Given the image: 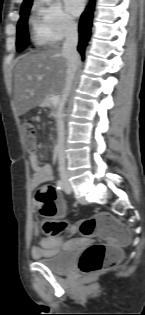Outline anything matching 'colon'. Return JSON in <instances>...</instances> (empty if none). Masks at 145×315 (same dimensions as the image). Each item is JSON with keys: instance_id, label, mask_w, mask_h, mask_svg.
Segmentation results:
<instances>
[{"instance_id": "1", "label": "colon", "mask_w": 145, "mask_h": 315, "mask_svg": "<svg viewBox=\"0 0 145 315\" xmlns=\"http://www.w3.org/2000/svg\"><path fill=\"white\" fill-rule=\"evenodd\" d=\"M23 141L28 150L35 147L34 126L25 122L22 125ZM36 206L40 214L47 219L46 228L55 234L65 228V223L56 220L62 209V203L51 184H42L36 193ZM80 233L87 237L103 239L108 244L96 243L82 253L78 268L84 274H94L114 267L121 258L119 245L128 242L129 235L125 227L109 214L101 213L87 218L78 224Z\"/></svg>"}]
</instances>
